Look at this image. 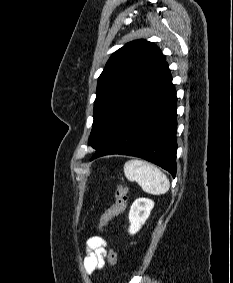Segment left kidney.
I'll return each instance as SVG.
<instances>
[{"label": "left kidney", "instance_id": "left-kidney-1", "mask_svg": "<svg viewBox=\"0 0 233 283\" xmlns=\"http://www.w3.org/2000/svg\"><path fill=\"white\" fill-rule=\"evenodd\" d=\"M153 207L154 202L147 198H138L134 201L129 211L130 234H136L140 230L141 226L148 219Z\"/></svg>", "mask_w": 233, "mask_h": 283}]
</instances>
